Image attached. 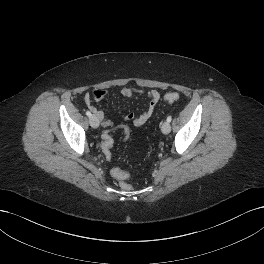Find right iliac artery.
Returning a JSON list of instances; mask_svg holds the SVG:
<instances>
[{"label": "right iliac artery", "instance_id": "obj_1", "mask_svg": "<svg viewBox=\"0 0 264 264\" xmlns=\"http://www.w3.org/2000/svg\"><path fill=\"white\" fill-rule=\"evenodd\" d=\"M86 115H87L88 117H90L92 114H91L90 111H86Z\"/></svg>", "mask_w": 264, "mask_h": 264}]
</instances>
